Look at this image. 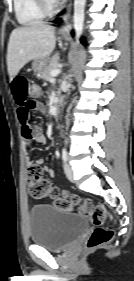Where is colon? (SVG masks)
Returning <instances> with one entry per match:
<instances>
[{
    "label": "colon",
    "mask_w": 134,
    "mask_h": 281,
    "mask_svg": "<svg viewBox=\"0 0 134 281\" xmlns=\"http://www.w3.org/2000/svg\"><path fill=\"white\" fill-rule=\"evenodd\" d=\"M28 92L30 98L36 100L42 95V87L40 84L33 82L30 84ZM26 183L30 194L34 198L51 197L54 199V205L62 210H70L73 206H78L79 211L89 217L96 226L87 240L89 248L105 245L112 240L114 232L102 226L107 218V213L103 206L94 204L87 199H81L75 195L60 197L59 190L53 187L44 177L43 169L38 165L28 167Z\"/></svg>",
    "instance_id": "5ec220e1"
}]
</instances>
